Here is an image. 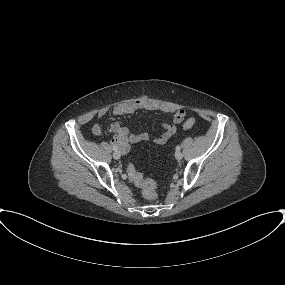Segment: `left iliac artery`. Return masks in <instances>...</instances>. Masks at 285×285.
Listing matches in <instances>:
<instances>
[{
	"mask_svg": "<svg viewBox=\"0 0 285 285\" xmlns=\"http://www.w3.org/2000/svg\"><path fill=\"white\" fill-rule=\"evenodd\" d=\"M181 147L178 145L176 146V151H180Z\"/></svg>",
	"mask_w": 285,
	"mask_h": 285,
	"instance_id": "left-iliac-artery-1",
	"label": "left iliac artery"
}]
</instances>
